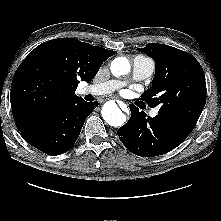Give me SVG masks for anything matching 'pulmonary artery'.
Listing matches in <instances>:
<instances>
[{
  "instance_id": "1",
  "label": "pulmonary artery",
  "mask_w": 221,
  "mask_h": 221,
  "mask_svg": "<svg viewBox=\"0 0 221 221\" xmlns=\"http://www.w3.org/2000/svg\"><path fill=\"white\" fill-rule=\"evenodd\" d=\"M155 70V63L142 55H137L132 63V79L135 81H142L152 75ZM125 81L109 80L103 83L86 86L82 92L84 94L105 95L112 93L125 85ZM158 109L151 111L152 117L157 116Z\"/></svg>"
}]
</instances>
